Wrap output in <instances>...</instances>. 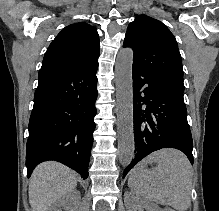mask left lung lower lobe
Instances as JSON below:
<instances>
[{
    "mask_svg": "<svg viewBox=\"0 0 219 211\" xmlns=\"http://www.w3.org/2000/svg\"><path fill=\"white\" fill-rule=\"evenodd\" d=\"M135 157L123 177L141 159L162 148L185 153L193 164L192 136L183 95L133 67Z\"/></svg>",
    "mask_w": 219,
    "mask_h": 211,
    "instance_id": "0a47b994",
    "label": "left lung lower lobe"
}]
</instances>
